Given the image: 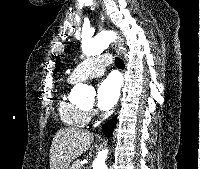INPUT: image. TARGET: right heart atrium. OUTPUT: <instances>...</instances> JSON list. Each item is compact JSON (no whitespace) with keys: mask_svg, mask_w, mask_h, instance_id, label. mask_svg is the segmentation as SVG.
Instances as JSON below:
<instances>
[{"mask_svg":"<svg viewBox=\"0 0 200 169\" xmlns=\"http://www.w3.org/2000/svg\"><path fill=\"white\" fill-rule=\"evenodd\" d=\"M88 113H89V118L92 119L94 116H95V111L90 109L88 110Z\"/></svg>","mask_w":200,"mask_h":169,"instance_id":"1","label":"right heart atrium"}]
</instances>
